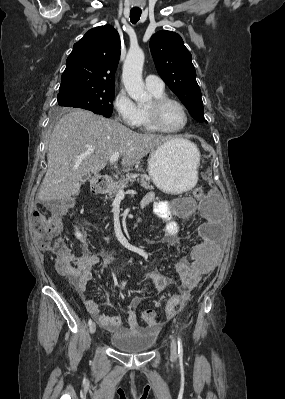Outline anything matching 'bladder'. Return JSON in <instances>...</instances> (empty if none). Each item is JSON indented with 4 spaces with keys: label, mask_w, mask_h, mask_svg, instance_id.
Listing matches in <instances>:
<instances>
[{
    "label": "bladder",
    "mask_w": 285,
    "mask_h": 399,
    "mask_svg": "<svg viewBox=\"0 0 285 399\" xmlns=\"http://www.w3.org/2000/svg\"><path fill=\"white\" fill-rule=\"evenodd\" d=\"M156 334L153 328H137L126 335L111 336L109 343L125 354H140L149 351L155 344Z\"/></svg>",
    "instance_id": "obj_1"
}]
</instances>
